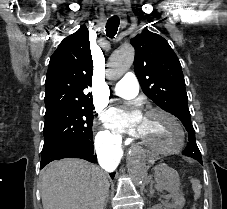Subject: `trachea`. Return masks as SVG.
Listing matches in <instances>:
<instances>
[{
  "label": "trachea",
  "mask_w": 227,
  "mask_h": 209,
  "mask_svg": "<svg viewBox=\"0 0 227 209\" xmlns=\"http://www.w3.org/2000/svg\"><path fill=\"white\" fill-rule=\"evenodd\" d=\"M120 25V19L118 15H113V17L109 18L106 23V33L108 37L111 39L114 38V36L117 33L118 27Z\"/></svg>",
  "instance_id": "obj_1"
}]
</instances>
